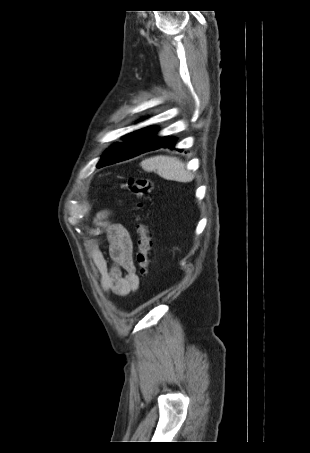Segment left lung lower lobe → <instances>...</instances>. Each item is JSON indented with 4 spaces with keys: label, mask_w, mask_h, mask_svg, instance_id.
Here are the masks:
<instances>
[{
    "label": "left lung lower lobe",
    "mask_w": 310,
    "mask_h": 453,
    "mask_svg": "<svg viewBox=\"0 0 310 453\" xmlns=\"http://www.w3.org/2000/svg\"><path fill=\"white\" fill-rule=\"evenodd\" d=\"M176 138L175 137H164L163 139H161L160 141H156L152 144H149L148 146L142 148L137 155L139 154H142V153H145L147 151H150V150H155V149H159V148H170V149H175V145H176ZM181 151V150H179Z\"/></svg>",
    "instance_id": "1"
}]
</instances>
